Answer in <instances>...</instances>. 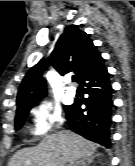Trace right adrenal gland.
I'll return each instance as SVG.
<instances>
[{"instance_id":"2a0ac1e0","label":"right adrenal gland","mask_w":135,"mask_h":166,"mask_svg":"<svg viewBox=\"0 0 135 166\" xmlns=\"http://www.w3.org/2000/svg\"><path fill=\"white\" fill-rule=\"evenodd\" d=\"M93 162V159L80 160L74 163H70L67 166H89Z\"/></svg>"}]
</instances>
